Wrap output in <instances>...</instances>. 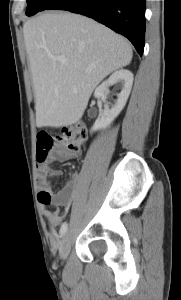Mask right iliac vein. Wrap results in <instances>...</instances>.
Segmentation results:
<instances>
[{
	"mask_svg": "<svg viewBox=\"0 0 181 300\" xmlns=\"http://www.w3.org/2000/svg\"><path fill=\"white\" fill-rule=\"evenodd\" d=\"M71 242H72V239H71V235L69 232H67L62 241H61V245H60V257L62 259H66L68 257V254L70 252V248H71Z\"/></svg>",
	"mask_w": 181,
	"mask_h": 300,
	"instance_id": "obj_1",
	"label": "right iliac vein"
}]
</instances>
